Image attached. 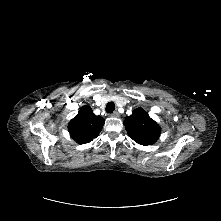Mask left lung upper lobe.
Returning a JSON list of instances; mask_svg holds the SVG:
<instances>
[{"label": "left lung upper lobe", "mask_w": 221, "mask_h": 221, "mask_svg": "<svg viewBox=\"0 0 221 221\" xmlns=\"http://www.w3.org/2000/svg\"><path fill=\"white\" fill-rule=\"evenodd\" d=\"M125 129L135 142L140 145H152L160 137V126L149 117L142 108H137L124 120Z\"/></svg>", "instance_id": "obj_1"}]
</instances>
